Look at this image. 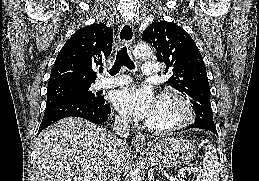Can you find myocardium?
<instances>
[{
    "mask_svg": "<svg viewBox=\"0 0 259 181\" xmlns=\"http://www.w3.org/2000/svg\"><path fill=\"white\" fill-rule=\"evenodd\" d=\"M158 99H169L175 102L180 108L181 116L176 122L169 125L156 126L147 123L146 128L149 131L157 134H170L187 127L192 122L193 112L191 105L179 91L170 87L165 88L159 93Z\"/></svg>",
    "mask_w": 259,
    "mask_h": 181,
    "instance_id": "1",
    "label": "myocardium"
}]
</instances>
